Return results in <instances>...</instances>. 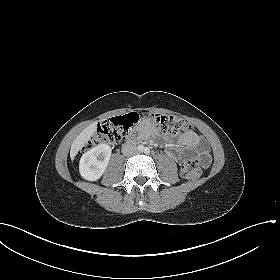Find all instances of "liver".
Segmentation results:
<instances>
[{
  "label": "liver",
  "instance_id": "obj_1",
  "mask_svg": "<svg viewBox=\"0 0 280 280\" xmlns=\"http://www.w3.org/2000/svg\"><path fill=\"white\" fill-rule=\"evenodd\" d=\"M97 122L90 124L86 127L82 132L74 139L71 150L70 157L73 160L78 151L86 145L88 140H90L91 136L96 132Z\"/></svg>",
  "mask_w": 280,
  "mask_h": 280
}]
</instances>
